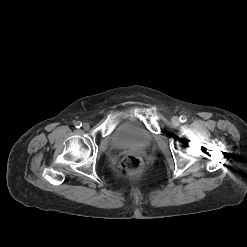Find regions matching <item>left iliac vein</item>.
Returning <instances> with one entry per match:
<instances>
[{
    "label": "left iliac vein",
    "mask_w": 247,
    "mask_h": 247,
    "mask_svg": "<svg viewBox=\"0 0 247 247\" xmlns=\"http://www.w3.org/2000/svg\"><path fill=\"white\" fill-rule=\"evenodd\" d=\"M172 123H173L174 125H179V124H180L179 117L174 116V117L172 118Z\"/></svg>",
    "instance_id": "4c4485c4"
}]
</instances>
